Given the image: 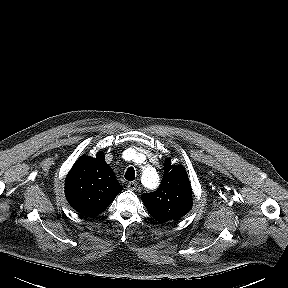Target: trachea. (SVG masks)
<instances>
[{"label": "trachea", "instance_id": "3493384b", "mask_svg": "<svg viewBox=\"0 0 288 288\" xmlns=\"http://www.w3.org/2000/svg\"><path fill=\"white\" fill-rule=\"evenodd\" d=\"M125 179L128 181H133L135 179V170L133 167H129L124 175Z\"/></svg>", "mask_w": 288, "mask_h": 288}]
</instances>
